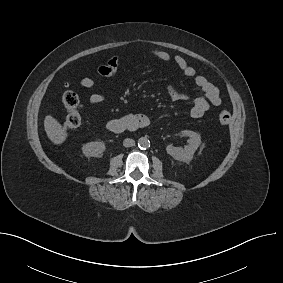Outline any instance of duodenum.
I'll return each instance as SVG.
<instances>
[{
	"label": "duodenum",
	"instance_id": "410a0bca",
	"mask_svg": "<svg viewBox=\"0 0 283 283\" xmlns=\"http://www.w3.org/2000/svg\"><path fill=\"white\" fill-rule=\"evenodd\" d=\"M150 125L149 119L141 114H129L121 118L111 119L107 122V129L119 134L125 131H136L147 128Z\"/></svg>",
	"mask_w": 283,
	"mask_h": 283
}]
</instances>
